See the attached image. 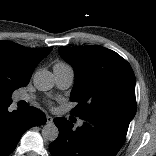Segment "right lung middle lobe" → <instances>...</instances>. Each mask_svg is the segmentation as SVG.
I'll return each instance as SVG.
<instances>
[{
    "mask_svg": "<svg viewBox=\"0 0 156 156\" xmlns=\"http://www.w3.org/2000/svg\"><path fill=\"white\" fill-rule=\"evenodd\" d=\"M12 89H5L0 91V101H10Z\"/></svg>",
    "mask_w": 156,
    "mask_h": 156,
    "instance_id": "right-lung-middle-lobe-1",
    "label": "right lung middle lobe"
}]
</instances>
